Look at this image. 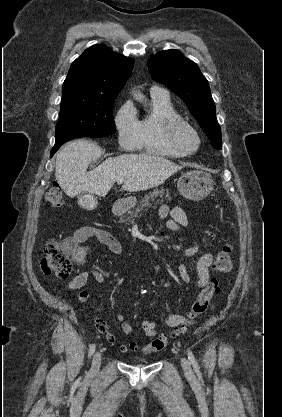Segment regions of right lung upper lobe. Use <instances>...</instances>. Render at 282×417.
I'll return each instance as SVG.
<instances>
[{"instance_id":"1","label":"right lung upper lobe","mask_w":282,"mask_h":417,"mask_svg":"<svg viewBox=\"0 0 282 417\" xmlns=\"http://www.w3.org/2000/svg\"><path fill=\"white\" fill-rule=\"evenodd\" d=\"M134 60L105 46L93 45L71 65L63 94L78 92L119 93L131 75Z\"/></svg>"}]
</instances>
